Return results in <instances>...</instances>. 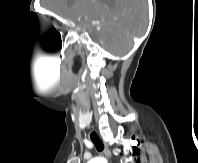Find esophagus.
Here are the masks:
<instances>
[{"label": "esophagus", "mask_w": 198, "mask_h": 163, "mask_svg": "<svg viewBox=\"0 0 198 163\" xmlns=\"http://www.w3.org/2000/svg\"><path fill=\"white\" fill-rule=\"evenodd\" d=\"M104 154L107 158H111V151L106 143H104Z\"/></svg>", "instance_id": "esophagus-1"}]
</instances>
